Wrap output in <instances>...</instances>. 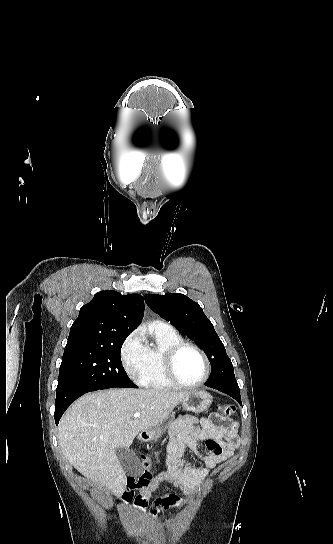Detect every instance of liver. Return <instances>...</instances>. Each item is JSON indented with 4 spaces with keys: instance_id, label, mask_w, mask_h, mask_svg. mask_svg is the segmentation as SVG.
I'll return each mask as SVG.
<instances>
[{
    "instance_id": "6515ba94",
    "label": "liver",
    "mask_w": 333,
    "mask_h": 544,
    "mask_svg": "<svg viewBox=\"0 0 333 544\" xmlns=\"http://www.w3.org/2000/svg\"><path fill=\"white\" fill-rule=\"evenodd\" d=\"M187 392L114 388L88 393L74 402L58 426V443L67 461L115 496L126 488L117 447L130 446L138 433L166 419ZM141 415L134 418L133 414Z\"/></svg>"
}]
</instances>
